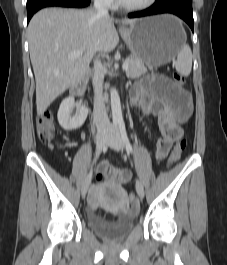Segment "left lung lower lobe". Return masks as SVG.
<instances>
[{
  "label": "left lung lower lobe",
  "mask_w": 227,
  "mask_h": 265,
  "mask_svg": "<svg viewBox=\"0 0 227 265\" xmlns=\"http://www.w3.org/2000/svg\"><path fill=\"white\" fill-rule=\"evenodd\" d=\"M171 13L183 19L190 28L194 29L192 0H164L155 2L151 7L140 12L130 13V18L150 16L155 14Z\"/></svg>",
  "instance_id": "1"
}]
</instances>
